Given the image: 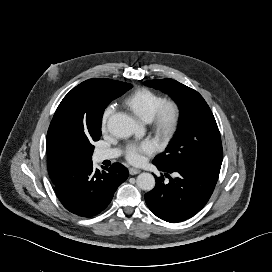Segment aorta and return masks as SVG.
I'll use <instances>...</instances> for the list:
<instances>
[{"label":"aorta","mask_w":272,"mask_h":272,"mask_svg":"<svg viewBox=\"0 0 272 272\" xmlns=\"http://www.w3.org/2000/svg\"><path fill=\"white\" fill-rule=\"evenodd\" d=\"M107 128L115 137L126 138L136 132L137 122L128 114L117 112L109 117ZM136 183L140 189L150 191L155 186V178L152 174L143 172L137 176Z\"/></svg>","instance_id":"1"}]
</instances>
